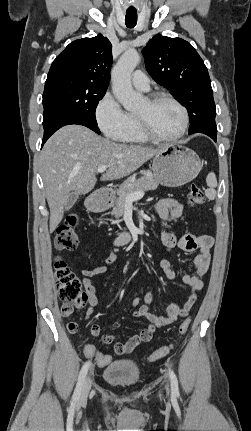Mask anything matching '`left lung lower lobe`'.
<instances>
[{
    "label": "left lung lower lobe",
    "mask_w": 251,
    "mask_h": 431,
    "mask_svg": "<svg viewBox=\"0 0 251 431\" xmlns=\"http://www.w3.org/2000/svg\"><path fill=\"white\" fill-rule=\"evenodd\" d=\"M199 132L204 133L202 129H199ZM211 138H213V140H215V141H216V136H213V137H211Z\"/></svg>",
    "instance_id": "obj_1"
}]
</instances>
